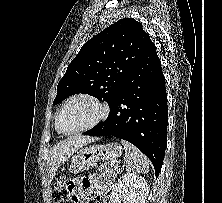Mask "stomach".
<instances>
[{
  "mask_svg": "<svg viewBox=\"0 0 222 203\" xmlns=\"http://www.w3.org/2000/svg\"><path fill=\"white\" fill-rule=\"evenodd\" d=\"M123 152L117 142L90 145L78 150L71 159L70 171L74 174L94 167L99 161L115 160Z\"/></svg>",
  "mask_w": 222,
  "mask_h": 203,
  "instance_id": "stomach-1",
  "label": "stomach"
}]
</instances>
